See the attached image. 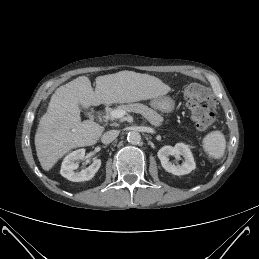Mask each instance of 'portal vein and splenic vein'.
I'll return each mask as SVG.
<instances>
[{"mask_svg":"<svg viewBox=\"0 0 259 259\" xmlns=\"http://www.w3.org/2000/svg\"><path fill=\"white\" fill-rule=\"evenodd\" d=\"M110 114H111V116H112L113 118H122V117L125 116L127 113H126V111H124V110L116 109V110L111 111Z\"/></svg>","mask_w":259,"mask_h":259,"instance_id":"portal-vein-and-splenic-vein-1","label":"portal vein and splenic vein"}]
</instances>
